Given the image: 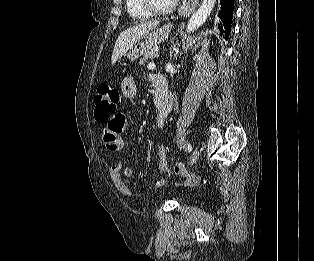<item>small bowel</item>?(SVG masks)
Segmentation results:
<instances>
[{"instance_id": "small-bowel-1", "label": "small bowel", "mask_w": 314, "mask_h": 261, "mask_svg": "<svg viewBox=\"0 0 314 261\" xmlns=\"http://www.w3.org/2000/svg\"><path fill=\"white\" fill-rule=\"evenodd\" d=\"M156 76L153 77L155 81ZM121 91L125 99L132 102L137 94V86L134 75L126 76L121 82ZM170 111L165 113H157L155 116L156 126L158 128H163L167 116ZM128 116L125 113H112L108 120H104V129H102L101 139L104 140V150L105 151H121L124 148V143L122 141L125 135V123H128ZM158 156V169L161 174L168 173V161H167V151L163 145L157 148ZM110 176L112 181L117 188V190L126 195L133 196L136 193L128 186L125 178H131L133 176V169L131 167L123 168L121 162L110 165L109 167ZM166 183V177L158 180L155 185L156 187H161Z\"/></svg>"}]
</instances>
